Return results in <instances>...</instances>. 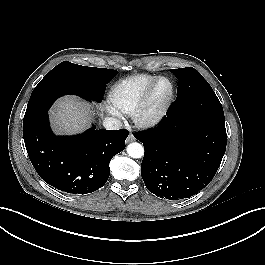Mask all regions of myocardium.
<instances>
[{
  "instance_id": "myocardium-1",
  "label": "myocardium",
  "mask_w": 265,
  "mask_h": 265,
  "mask_svg": "<svg viewBox=\"0 0 265 265\" xmlns=\"http://www.w3.org/2000/svg\"><path fill=\"white\" fill-rule=\"evenodd\" d=\"M161 80H167L170 84V93L161 108H150L154 90ZM175 97V85L172 79L165 75L157 76L147 87L138 104L131 113L134 124L142 129H148L159 124L168 114Z\"/></svg>"
}]
</instances>
